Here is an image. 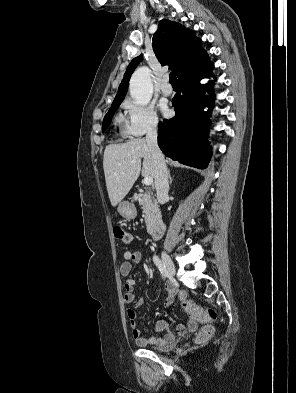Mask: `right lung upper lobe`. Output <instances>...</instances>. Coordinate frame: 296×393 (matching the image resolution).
<instances>
[{
  "label": "right lung upper lobe",
  "instance_id": "right-lung-upper-lobe-1",
  "mask_svg": "<svg viewBox=\"0 0 296 393\" xmlns=\"http://www.w3.org/2000/svg\"><path fill=\"white\" fill-rule=\"evenodd\" d=\"M153 48L160 63L169 65L177 76L204 52L201 40L192 31L166 19L159 22L158 30L153 36ZM141 60L142 55L134 58L128 65L114 101L124 99L131 74Z\"/></svg>",
  "mask_w": 296,
  "mask_h": 393
}]
</instances>
